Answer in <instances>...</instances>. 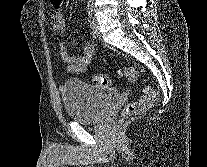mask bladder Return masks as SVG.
Returning a JSON list of instances; mask_svg holds the SVG:
<instances>
[{
  "label": "bladder",
  "mask_w": 207,
  "mask_h": 167,
  "mask_svg": "<svg viewBox=\"0 0 207 167\" xmlns=\"http://www.w3.org/2000/svg\"><path fill=\"white\" fill-rule=\"evenodd\" d=\"M62 102L68 117L78 123H92L100 120L119 92L83 82L67 80L61 89Z\"/></svg>",
  "instance_id": "31cf9c89"
}]
</instances>
